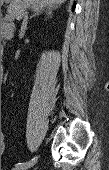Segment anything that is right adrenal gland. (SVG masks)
<instances>
[{
	"instance_id": "right-adrenal-gland-1",
	"label": "right adrenal gland",
	"mask_w": 109,
	"mask_h": 170,
	"mask_svg": "<svg viewBox=\"0 0 109 170\" xmlns=\"http://www.w3.org/2000/svg\"><path fill=\"white\" fill-rule=\"evenodd\" d=\"M45 13L47 16H51L52 15V10L50 8H46L45 10H38L36 11L32 16H30V19H32L33 17L40 15L42 13Z\"/></svg>"
}]
</instances>
